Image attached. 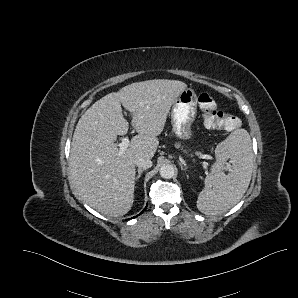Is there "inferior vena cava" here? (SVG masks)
Segmentation results:
<instances>
[{
  "label": "inferior vena cava",
  "instance_id": "1",
  "mask_svg": "<svg viewBox=\"0 0 298 298\" xmlns=\"http://www.w3.org/2000/svg\"><path fill=\"white\" fill-rule=\"evenodd\" d=\"M134 163L139 168L142 167V168H145V169L151 168L152 165H153V162H152L151 159H148V158H145V157H141V156L137 157L134 160Z\"/></svg>",
  "mask_w": 298,
  "mask_h": 298
}]
</instances>
